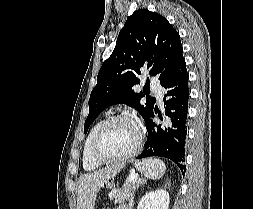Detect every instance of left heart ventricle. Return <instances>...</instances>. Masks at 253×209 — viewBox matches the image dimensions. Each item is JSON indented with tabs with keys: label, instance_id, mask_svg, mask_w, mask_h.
<instances>
[{
	"label": "left heart ventricle",
	"instance_id": "1",
	"mask_svg": "<svg viewBox=\"0 0 253 209\" xmlns=\"http://www.w3.org/2000/svg\"><path fill=\"white\" fill-rule=\"evenodd\" d=\"M136 140L135 125L128 120H117L108 125L103 132L98 151L107 158L120 157L135 146Z\"/></svg>",
	"mask_w": 253,
	"mask_h": 209
}]
</instances>
